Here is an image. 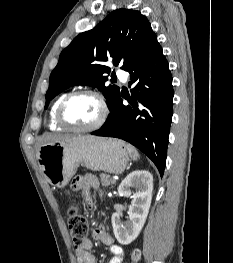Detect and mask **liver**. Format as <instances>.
<instances>
[{"instance_id":"6515ba94","label":"liver","mask_w":233,"mask_h":263,"mask_svg":"<svg viewBox=\"0 0 233 263\" xmlns=\"http://www.w3.org/2000/svg\"><path fill=\"white\" fill-rule=\"evenodd\" d=\"M71 137L70 135H62V134H54V133H45L41 137L38 138L35 149L36 152L39 150V148L43 145L59 142L61 140L67 139Z\"/></svg>"}]
</instances>
